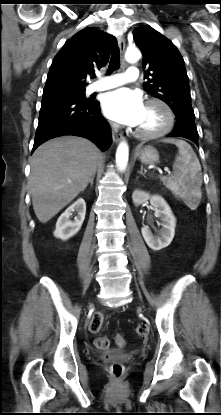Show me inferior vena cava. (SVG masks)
<instances>
[{
	"label": "inferior vena cava",
	"mask_w": 221,
	"mask_h": 415,
	"mask_svg": "<svg viewBox=\"0 0 221 415\" xmlns=\"http://www.w3.org/2000/svg\"><path fill=\"white\" fill-rule=\"evenodd\" d=\"M111 127H112L113 129L117 130L119 126H118L117 124H112V125H111Z\"/></svg>",
	"instance_id": "1"
}]
</instances>
